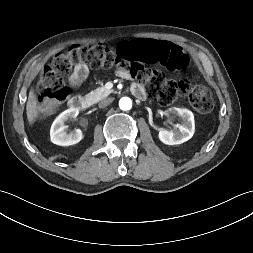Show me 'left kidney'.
Listing matches in <instances>:
<instances>
[{
    "label": "left kidney",
    "instance_id": "5707ae66",
    "mask_svg": "<svg viewBox=\"0 0 253 253\" xmlns=\"http://www.w3.org/2000/svg\"><path fill=\"white\" fill-rule=\"evenodd\" d=\"M167 113L178 116L182 123L178 127V131H168L166 129H159V139L166 145H177L188 141L192 138L195 132V123L193 113L186 108H169Z\"/></svg>",
    "mask_w": 253,
    "mask_h": 253
}]
</instances>
